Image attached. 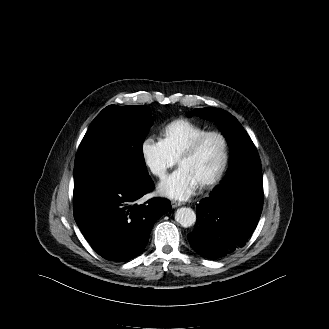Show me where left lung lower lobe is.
Wrapping results in <instances>:
<instances>
[{"mask_svg": "<svg viewBox=\"0 0 329 329\" xmlns=\"http://www.w3.org/2000/svg\"><path fill=\"white\" fill-rule=\"evenodd\" d=\"M222 183V196H210L197 205V222L188 234L192 248L212 260L245 245L257 226L263 207L260 162L238 164Z\"/></svg>", "mask_w": 329, "mask_h": 329, "instance_id": "obj_1", "label": "left lung lower lobe"}]
</instances>
